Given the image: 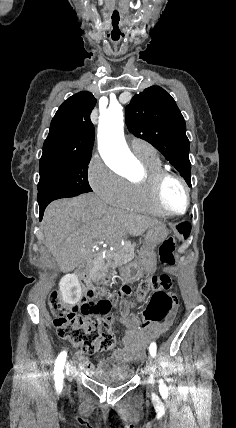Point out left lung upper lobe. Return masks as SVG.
I'll use <instances>...</instances> for the list:
<instances>
[{"label": "left lung upper lobe", "instance_id": "5c2ea615", "mask_svg": "<svg viewBox=\"0 0 236 428\" xmlns=\"http://www.w3.org/2000/svg\"><path fill=\"white\" fill-rule=\"evenodd\" d=\"M125 116L129 131L158 149L191 186L186 125L174 99L151 86L132 98Z\"/></svg>", "mask_w": 236, "mask_h": 428}]
</instances>
